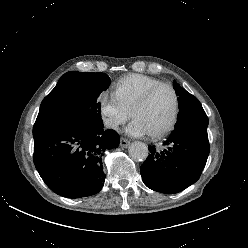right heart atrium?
I'll list each match as a JSON object with an SVG mask.
<instances>
[{
    "instance_id": "right-heart-atrium-1",
    "label": "right heart atrium",
    "mask_w": 248,
    "mask_h": 248,
    "mask_svg": "<svg viewBox=\"0 0 248 248\" xmlns=\"http://www.w3.org/2000/svg\"><path fill=\"white\" fill-rule=\"evenodd\" d=\"M98 106L104 123L112 130L119 129L130 116L113 93L102 92L98 97Z\"/></svg>"
}]
</instances>
